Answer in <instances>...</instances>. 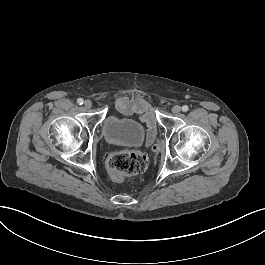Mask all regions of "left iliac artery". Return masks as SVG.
Returning <instances> with one entry per match:
<instances>
[{"mask_svg":"<svg viewBox=\"0 0 265 265\" xmlns=\"http://www.w3.org/2000/svg\"><path fill=\"white\" fill-rule=\"evenodd\" d=\"M188 109H189V108H188V106H187V105H184V106H182V111H183V112H187V111H188Z\"/></svg>","mask_w":265,"mask_h":265,"instance_id":"1","label":"left iliac artery"}]
</instances>
